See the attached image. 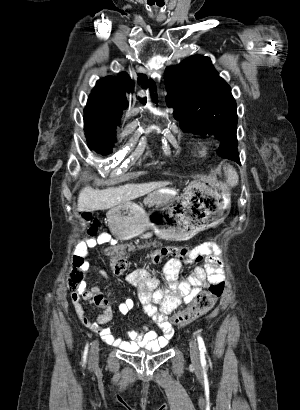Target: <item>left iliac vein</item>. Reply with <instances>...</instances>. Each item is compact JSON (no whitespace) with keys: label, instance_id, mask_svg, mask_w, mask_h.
I'll return each instance as SVG.
<instances>
[{"label":"left iliac vein","instance_id":"4c4485c4","mask_svg":"<svg viewBox=\"0 0 300 410\" xmlns=\"http://www.w3.org/2000/svg\"><path fill=\"white\" fill-rule=\"evenodd\" d=\"M189 347H190V357H191L192 363L195 365H199L200 364V354H199L197 342L194 339H191L189 342Z\"/></svg>","mask_w":300,"mask_h":410}]
</instances>
